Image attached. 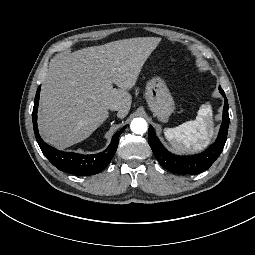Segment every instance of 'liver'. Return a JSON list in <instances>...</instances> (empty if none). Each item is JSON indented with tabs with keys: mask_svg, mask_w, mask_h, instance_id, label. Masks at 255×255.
I'll use <instances>...</instances> for the list:
<instances>
[{
	"mask_svg": "<svg viewBox=\"0 0 255 255\" xmlns=\"http://www.w3.org/2000/svg\"><path fill=\"white\" fill-rule=\"evenodd\" d=\"M161 38L111 42L52 60L41 89L39 128L54 146L66 148L89 138L118 103L117 117L129 113L130 91ZM117 85L119 89H115Z\"/></svg>",
	"mask_w": 255,
	"mask_h": 255,
	"instance_id": "6515ba94",
	"label": "liver"
}]
</instances>
